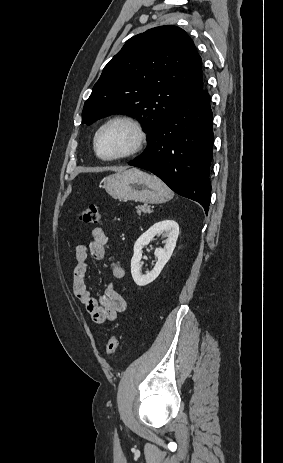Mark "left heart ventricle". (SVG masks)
Instances as JSON below:
<instances>
[{
	"mask_svg": "<svg viewBox=\"0 0 283 463\" xmlns=\"http://www.w3.org/2000/svg\"><path fill=\"white\" fill-rule=\"evenodd\" d=\"M133 130L122 123L106 128L98 139V151L104 157H111L128 151L134 142Z\"/></svg>",
	"mask_w": 283,
	"mask_h": 463,
	"instance_id": "obj_1",
	"label": "left heart ventricle"
}]
</instances>
